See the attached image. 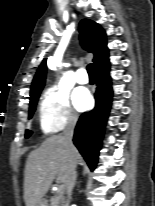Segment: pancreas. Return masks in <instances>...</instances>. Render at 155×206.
Wrapping results in <instances>:
<instances>
[{"mask_svg": "<svg viewBox=\"0 0 155 206\" xmlns=\"http://www.w3.org/2000/svg\"><path fill=\"white\" fill-rule=\"evenodd\" d=\"M50 206H63L64 196L62 194H57L51 198Z\"/></svg>", "mask_w": 155, "mask_h": 206, "instance_id": "pancreas-1", "label": "pancreas"}]
</instances>
